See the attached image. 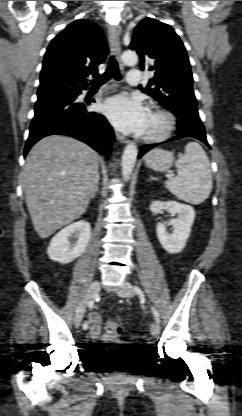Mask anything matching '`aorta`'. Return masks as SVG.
I'll list each match as a JSON object with an SVG mask.
<instances>
[{
	"label": "aorta",
	"mask_w": 242,
	"mask_h": 416,
	"mask_svg": "<svg viewBox=\"0 0 242 416\" xmlns=\"http://www.w3.org/2000/svg\"><path fill=\"white\" fill-rule=\"evenodd\" d=\"M121 58H122L123 63L127 65L136 64L138 61V56L136 52L134 51H125L122 54ZM137 155H138V149L135 144L130 143L125 147L123 155H122V162H121L122 175L125 181H128L132 175V172L136 164Z\"/></svg>",
	"instance_id": "aorta-1"
}]
</instances>
